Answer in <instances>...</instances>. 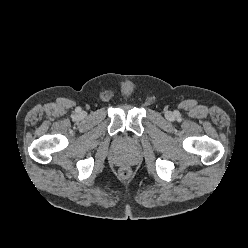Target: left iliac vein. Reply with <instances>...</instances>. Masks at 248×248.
<instances>
[{"label": "left iliac vein", "instance_id": "1", "mask_svg": "<svg viewBox=\"0 0 248 248\" xmlns=\"http://www.w3.org/2000/svg\"><path fill=\"white\" fill-rule=\"evenodd\" d=\"M168 116H171V113L168 112Z\"/></svg>", "mask_w": 248, "mask_h": 248}]
</instances>
